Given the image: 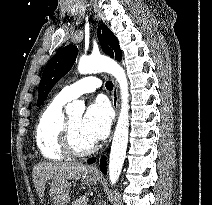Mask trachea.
Here are the masks:
<instances>
[{
	"label": "trachea",
	"mask_w": 212,
	"mask_h": 205,
	"mask_svg": "<svg viewBox=\"0 0 212 205\" xmlns=\"http://www.w3.org/2000/svg\"><path fill=\"white\" fill-rule=\"evenodd\" d=\"M106 88H107V90L111 91L113 89V83L111 81H107Z\"/></svg>",
	"instance_id": "obj_1"
}]
</instances>
